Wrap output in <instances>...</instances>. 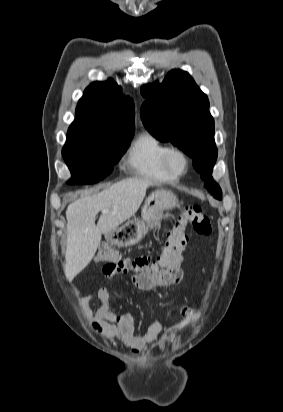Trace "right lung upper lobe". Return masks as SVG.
<instances>
[{
    "instance_id": "cb5924a9",
    "label": "right lung upper lobe",
    "mask_w": 283,
    "mask_h": 412,
    "mask_svg": "<svg viewBox=\"0 0 283 412\" xmlns=\"http://www.w3.org/2000/svg\"><path fill=\"white\" fill-rule=\"evenodd\" d=\"M134 104L122 95L112 79L89 85L76 108L72 123L78 130L91 135H122L134 133Z\"/></svg>"
}]
</instances>
